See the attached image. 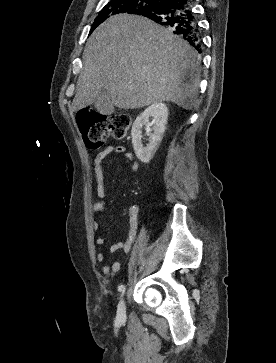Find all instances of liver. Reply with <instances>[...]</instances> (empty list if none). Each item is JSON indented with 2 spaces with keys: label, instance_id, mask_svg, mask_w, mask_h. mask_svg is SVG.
Returning <instances> with one entry per match:
<instances>
[{
  "label": "liver",
  "instance_id": "obj_1",
  "mask_svg": "<svg viewBox=\"0 0 276 363\" xmlns=\"http://www.w3.org/2000/svg\"><path fill=\"white\" fill-rule=\"evenodd\" d=\"M72 110L108 92L120 109L164 101L191 109L198 92L200 60L192 47L153 21L118 15L89 37Z\"/></svg>",
  "mask_w": 276,
  "mask_h": 363
}]
</instances>
